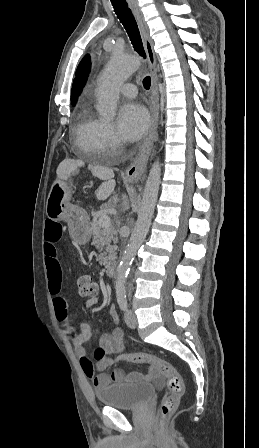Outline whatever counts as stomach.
I'll return each mask as SVG.
<instances>
[{
  "label": "stomach",
  "instance_id": "obj_1",
  "mask_svg": "<svg viewBox=\"0 0 259 448\" xmlns=\"http://www.w3.org/2000/svg\"><path fill=\"white\" fill-rule=\"evenodd\" d=\"M71 186L66 180L57 178L51 186L46 202V216L50 220L67 221L70 236L77 244H86L91 238L89 213L84 206H64L70 200Z\"/></svg>",
  "mask_w": 259,
  "mask_h": 448
}]
</instances>
